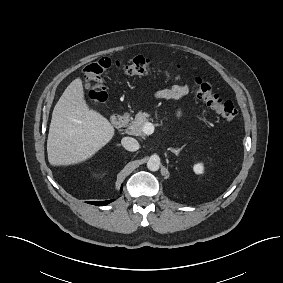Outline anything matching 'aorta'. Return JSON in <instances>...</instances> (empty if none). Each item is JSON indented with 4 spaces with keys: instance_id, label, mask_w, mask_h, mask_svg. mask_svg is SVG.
Here are the masks:
<instances>
[{
    "instance_id": "762f6f07",
    "label": "aorta",
    "mask_w": 283,
    "mask_h": 283,
    "mask_svg": "<svg viewBox=\"0 0 283 283\" xmlns=\"http://www.w3.org/2000/svg\"><path fill=\"white\" fill-rule=\"evenodd\" d=\"M160 167V158L158 155H152L148 162H147V168L150 171H157Z\"/></svg>"
}]
</instances>
